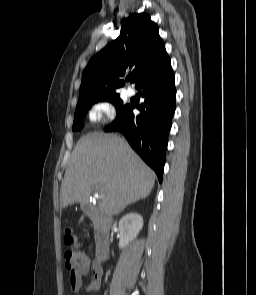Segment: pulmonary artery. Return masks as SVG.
<instances>
[{
    "mask_svg": "<svg viewBox=\"0 0 256 295\" xmlns=\"http://www.w3.org/2000/svg\"><path fill=\"white\" fill-rule=\"evenodd\" d=\"M126 93H127L129 96H132V95H134L135 91H134L133 88L128 87V88L126 89Z\"/></svg>",
    "mask_w": 256,
    "mask_h": 295,
    "instance_id": "1",
    "label": "pulmonary artery"
}]
</instances>
